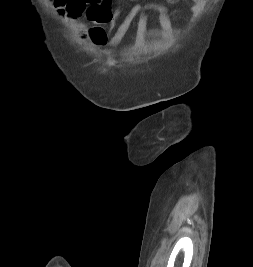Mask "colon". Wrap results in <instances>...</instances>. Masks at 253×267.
Here are the masks:
<instances>
[{"label": "colon", "mask_w": 253, "mask_h": 267, "mask_svg": "<svg viewBox=\"0 0 253 267\" xmlns=\"http://www.w3.org/2000/svg\"><path fill=\"white\" fill-rule=\"evenodd\" d=\"M53 2L58 7H63L67 5L70 2V0H53ZM89 36L93 41V43L97 45H104L108 40L107 32L102 26H92L89 29Z\"/></svg>", "instance_id": "1"}]
</instances>
